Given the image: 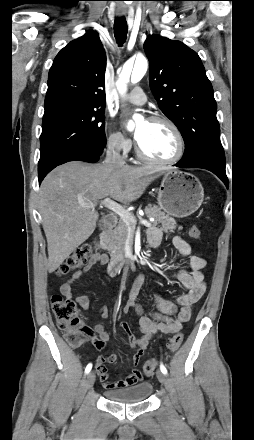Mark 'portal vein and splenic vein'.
Returning <instances> with one entry per match:
<instances>
[{
	"mask_svg": "<svg viewBox=\"0 0 254 440\" xmlns=\"http://www.w3.org/2000/svg\"><path fill=\"white\" fill-rule=\"evenodd\" d=\"M99 201L95 202H89L83 204L85 207H95ZM100 203L104 205L106 208L113 211L115 214H117L127 225L135 226L137 221L135 217L128 212L124 207H122L120 204L116 203L115 201L111 200L110 198L106 197L104 200H101ZM141 224L150 227L152 224L148 220L142 219Z\"/></svg>",
	"mask_w": 254,
	"mask_h": 440,
	"instance_id": "portal-vein-and-splenic-vein-1",
	"label": "portal vein and splenic vein"
}]
</instances>
